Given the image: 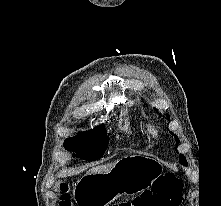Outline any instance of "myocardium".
Instances as JSON below:
<instances>
[{
  "label": "myocardium",
  "mask_w": 221,
  "mask_h": 206,
  "mask_svg": "<svg viewBox=\"0 0 221 206\" xmlns=\"http://www.w3.org/2000/svg\"><path fill=\"white\" fill-rule=\"evenodd\" d=\"M148 131L153 137L157 135V130L153 125H148Z\"/></svg>",
  "instance_id": "myocardium-1"
}]
</instances>
